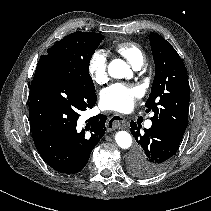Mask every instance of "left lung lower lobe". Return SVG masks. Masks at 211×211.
I'll use <instances>...</instances> for the list:
<instances>
[{
  "label": "left lung lower lobe",
  "instance_id": "0a47b994",
  "mask_svg": "<svg viewBox=\"0 0 211 211\" xmlns=\"http://www.w3.org/2000/svg\"><path fill=\"white\" fill-rule=\"evenodd\" d=\"M130 126V131L139 145L129 156L130 172L143 178L161 173L170 164L182 138L154 123L151 128L144 129V132L140 130L141 125L133 120Z\"/></svg>",
  "mask_w": 211,
  "mask_h": 211
}]
</instances>
